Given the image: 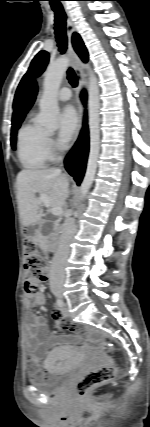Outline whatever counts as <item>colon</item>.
<instances>
[{
  "label": "colon",
  "instance_id": "5ec220e1",
  "mask_svg": "<svg viewBox=\"0 0 150 427\" xmlns=\"http://www.w3.org/2000/svg\"><path fill=\"white\" fill-rule=\"evenodd\" d=\"M26 255L25 263V290L33 295L41 290L48 281L49 270L46 261L39 253L34 241L26 239L24 242ZM103 348L111 352L112 347L109 343L103 342ZM117 369L114 366L102 367L82 376L76 384V393L80 397L86 396L94 388L112 380L116 375Z\"/></svg>",
  "mask_w": 150,
  "mask_h": 427
}]
</instances>
